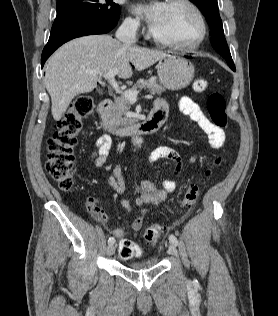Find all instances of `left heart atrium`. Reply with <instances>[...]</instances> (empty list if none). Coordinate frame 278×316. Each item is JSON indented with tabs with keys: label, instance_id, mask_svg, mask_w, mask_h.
Wrapping results in <instances>:
<instances>
[{
	"label": "left heart atrium",
	"instance_id": "1",
	"mask_svg": "<svg viewBox=\"0 0 278 316\" xmlns=\"http://www.w3.org/2000/svg\"><path fill=\"white\" fill-rule=\"evenodd\" d=\"M165 7L166 3L160 1H154L150 3H137L134 6V11L137 14L145 17L152 29L160 20Z\"/></svg>",
	"mask_w": 278,
	"mask_h": 316
}]
</instances>
